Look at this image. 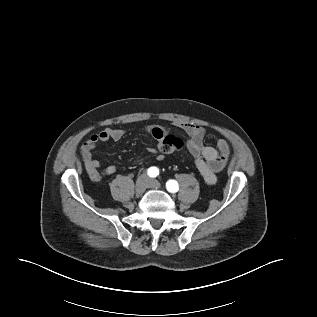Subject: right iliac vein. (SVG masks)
Listing matches in <instances>:
<instances>
[{"instance_id":"1","label":"right iliac vein","mask_w":317,"mask_h":317,"mask_svg":"<svg viewBox=\"0 0 317 317\" xmlns=\"http://www.w3.org/2000/svg\"><path fill=\"white\" fill-rule=\"evenodd\" d=\"M148 177L146 175H141L137 181H136V185H135V191L138 195H142L146 188L148 187Z\"/></svg>"}]
</instances>
